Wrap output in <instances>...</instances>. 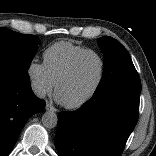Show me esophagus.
I'll use <instances>...</instances> for the list:
<instances>
[{
  "label": "esophagus",
  "mask_w": 156,
  "mask_h": 156,
  "mask_svg": "<svg viewBox=\"0 0 156 156\" xmlns=\"http://www.w3.org/2000/svg\"><path fill=\"white\" fill-rule=\"evenodd\" d=\"M45 109L47 111L57 112V109L55 107H53L51 104H49V103L46 104Z\"/></svg>",
  "instance_id": "34e87169"
}]
</instances>
